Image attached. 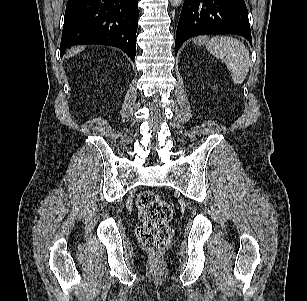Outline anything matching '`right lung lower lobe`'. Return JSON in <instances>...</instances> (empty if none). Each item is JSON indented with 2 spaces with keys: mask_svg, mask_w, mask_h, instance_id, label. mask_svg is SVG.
<instances>
[{
  "mask_svg": "<svg viewBox=\"0 0 307 301\" xmlns=\"http://www.w3.org/2000/svg\"><path fill=\"white\" fill-rule=\"evenodd\" d=\"M138 0H68L60 53L73 45L102 44L123 49L134 61Z\"/></svg>",
  "mask_w": 307,
  "mask_h": 301,
  "instance_id": "right-lung-lower-lobe-1",
  "label": "right lung lower lobe"
}]
</instances>
